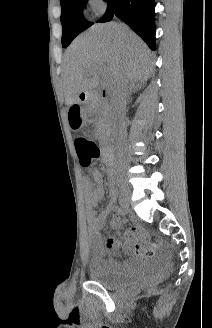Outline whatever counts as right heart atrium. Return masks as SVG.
<instances>
[{"mask_svg":"<svg viewBox=\"0 0 212 328\" xmlns=\"http://www.w3.org/2000/svg\"><path fill=\"white\" fill-rule=\"evenodd\" d=\"M90 4V13L92 17L102 16L108 8L107 0H89Z\"/></svg>","mask_w":212,"mask_h":328,"instance_id":"right-heart-atrium-1","label":"right heart atrium"}]
</instances>
